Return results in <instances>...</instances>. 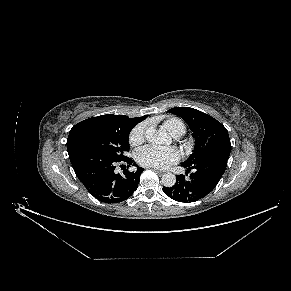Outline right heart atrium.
Wrapping results in <instances>:
<instances>
[{"mask_svg": "<svg viewBox=\"0 0 291 291\" xmlns=\"http://www.w3.org/2000/svg\"><path fill=\"white\" fill-rule=\"evenodd\" d=\"M145 124L136 126L129 135V142L132 146H139L143 143L145 138Z\"/></svg>", "mask_w": 291, "mask_h": 291, "instance_id": "obj_1", "label": "right heart atrium"}]
</instances>
